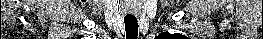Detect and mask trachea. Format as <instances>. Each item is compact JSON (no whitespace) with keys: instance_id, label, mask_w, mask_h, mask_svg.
I'll use <instances>...</instances> for the list:
<instances>
[{"instance_id":"obj_1","label":"trachea","mask_w":263,"mask_h":39,"mask_svg":"<svg viewBox=\"0 0 263 39\" xmlns=\"http://www.w3.org/2000/svg\"><path fill=\"white\" fill-rule=\"evenodd\" d=\"M126 39H137L138 22L136 18H124Z\"/></svg>"}]
</instances>
